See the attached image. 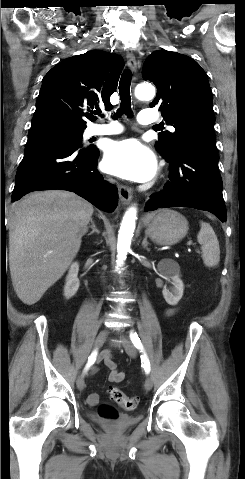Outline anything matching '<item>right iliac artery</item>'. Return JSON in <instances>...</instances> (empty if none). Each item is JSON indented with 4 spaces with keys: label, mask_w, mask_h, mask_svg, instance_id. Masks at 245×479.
<instances>
[{
    "label": "right iliac artery",
    "mask_w": 245,
    "mask_h": 479,
    "mask_svg": "<svg viewBox=\"0 0 245 479\" xmlns=\"http://www.w3.org/2000/svg\"><path fill=\"white\" fill-rule=\"evenodd\" d=\"M96 356H97V351H93L92 354L90 355V357L88 358V362L85 366V369H84V372H86L89 367L94 364L95 360H96Z\"/></svg>",
    "instance_id": "obj_1"
}]
</instances>
